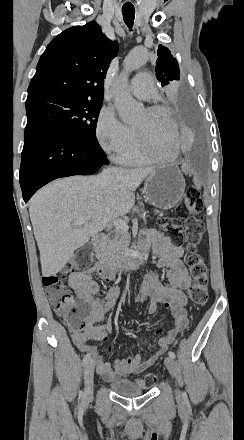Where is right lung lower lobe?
I'll use <instances>...</instances> for the list:
<instances>
[{
    "instance_id": "right-lung-lower-lobe-1",
    "label": "right lung lower lobe",
    "mask_w": 244,
    "mask_h": 440,
    "mask_svg": "<svg viewBox=\"0 0 244 440\" xmlns=\"http://www.w3.org/2000/svg\"><path fill=\"white\" fill-rule=\"evenodd\" d=\"M21 158L19 181L25 202L56 178L91 175L108 164L98 142L44 125L26 126Z\"/></svg>"
}]
</instances>
